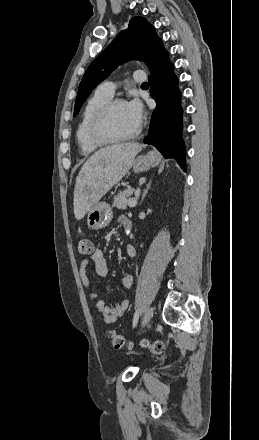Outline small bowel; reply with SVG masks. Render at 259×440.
Wrapping results in <instances>:
<instances>
[{
  "label": "small bowel",
  "mask_w": 259,
  "mask_h": 440,
  "mask_svg": "<svg viewBox=\"0 0 259 440\" xmlns=\"http://www.w3.org/2000/svg\"><path fill=\"white\" fill-rule=\"evenodd\" d=\"M128 220L129 219L126 216H120L118 219L119 223L122 226H124ZM125 254L128 258H134L136 256L135 247L132 245H127L125 248ZM90 263H92L95 272L99 277H106L108 275V264L104 257L103 251L101 249L94 250L90 257V260H82L79 267V276L82 285L87 289L90 287V280L88 277V266ZM132 285V275H125L122 278V287L125 290H128L131 288ZM89 297L95 302V310L103 315V321L107 324L117 321L118 318L125 314L130 305L128 300H124L119 304L107 306L105 302L99 298L98 294L93 289L89 291Z\"/></svg>",
  "instance_id": "obj_1"
}]
</instances>
